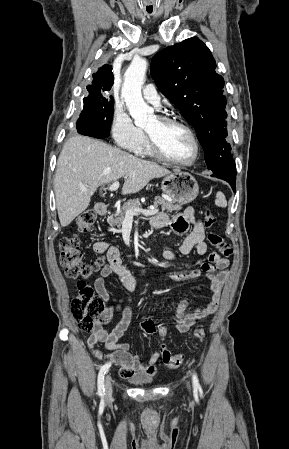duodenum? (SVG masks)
Masks as SVG:
<instances>
[{"mask_svg": "<svg viewBox=\"0 0 289 449\" xmlns=\"http://www.w3.org/2000/svg\"><path fill=\"white\" fill-rule=\"evenodd\" d=\"M98 212H99L100 215H106L108 213V209L105 206H100L98 208Z\"/></svg>", "mask_w": 289, "mask_h": 449, "instance_id": "obj_1", "label": "duodenum"}]
</instances>
